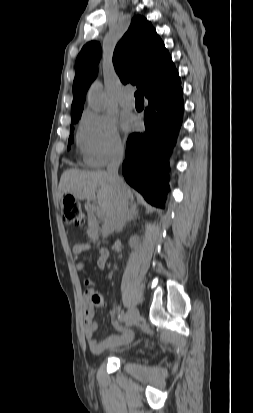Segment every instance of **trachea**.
<instances>
[{"mask_svg":"<svg viewBox=\"0 0 253 413\" xmlns=\"http://www.w3.org/2000/svg\"><path fill=\"white\" fill-rule=\"evenodd\" d=\"M135 98L136 99H142L143 98V93L141 90H138L135 92Z\"/></svg>","mask_w":253,"mask_h":413,"instance_id":"1","label":"trachea"}]
</instances>
